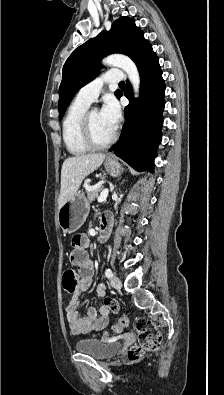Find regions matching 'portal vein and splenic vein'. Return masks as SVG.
<instances>
[{"instance_id": "18ae733b", "label": "portal vein and splenic vein", "mask_w": 224, "mask_h": 395, "mask_svg": "<svg viewBox=\"0 0 224 395\" xmlns=\"http://www.w3.org/2000/svg\"><path fill=\"white\" fill-rule=\"evenodd\" d=\"M108 196V189H104L98 197V202H104Z\"/></svg>"}]
</instances>
